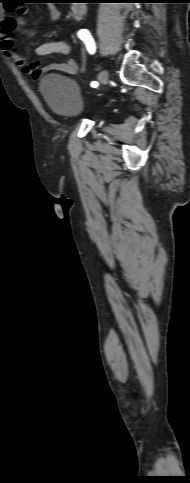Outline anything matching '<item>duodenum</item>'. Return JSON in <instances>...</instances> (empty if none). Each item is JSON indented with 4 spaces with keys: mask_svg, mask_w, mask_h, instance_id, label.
I'll list each match as a JSON object with an SVG mask.
<instances>
[{
    "mask_svg": "<svg viewBox=\"0 0 190 483\" xmlns=\"http://www.w3.org/2000/svg\"><path fill=\"white\" fill-rule=\"evenodd\" d=\"M84 3H85L84 0H76L74 2V7L72 9V12L75 20H79L83 17L84 11H85Z\"/></svg>",
    "mask_w": 190,
    "mask_h": 483,
    "instance_id": "1",
    "label": "duodenum"
}]
</instances>
